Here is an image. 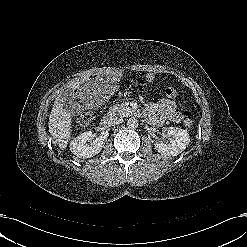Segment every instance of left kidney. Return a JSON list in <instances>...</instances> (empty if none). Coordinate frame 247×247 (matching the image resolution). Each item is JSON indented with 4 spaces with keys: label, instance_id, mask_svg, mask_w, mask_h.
Instances as JSON below:
<instances>
[{
    "label": "left kidney",
    "instance_id": "1",
    "mask_svg": "<svg viewBox=\"0 0 247 247\" xmlns=\"http://www.w3.org/2000/svg\"><path fill=\"white\" fill-rule=\"evenodd\" d=\"M166 138L154 141L155 149L164 156H177L189 145L190 137L187 130L169 127L165 130Z\"/></svg>",
    "mask_w": 247,
    "mask_h": 247
}]
</instances>
